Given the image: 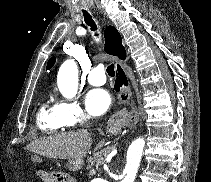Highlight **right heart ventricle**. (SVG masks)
<instances>
[{"mask_svg": "<svg viewBox=\"0 0 211 182\" xmlns=\"http://www.w3.org/2000/svg\"><path fill=\"white\" fill-rule=\"evenodd\" d=\"M37 125L46 134H54L65 129L66 124L59 115L57 105L44 102L37 113Z\"/></svg>", "mask_w": 211, "mask_h": 182, "instance_id": "right-heart-ventricle-1", "label": "right heart ventricle"}]
</instances>
